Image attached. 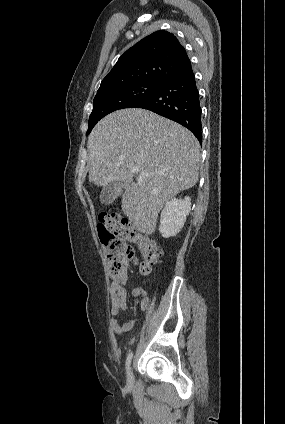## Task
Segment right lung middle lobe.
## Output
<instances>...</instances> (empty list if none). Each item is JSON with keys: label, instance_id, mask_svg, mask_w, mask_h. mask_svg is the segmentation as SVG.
Returning <instances> with one entry per match:
<instances>
[{"label": "right lung middle lobe", "instance_id": "right-lung-middle-lobe-1", "mask_svg": "<svg viewBox=\"0 0 285 424\" xmlns=\"http://www.w3.org/2000/svg\"><path fill=\"white\" fill-rule=\"evenodd\" d=\"M163 83L161 81H139L98 91L93 101V110L89 117L86 135L104 116L119 109L130 108L134 103L156 92Z\"/></svg>", "mask_w": 285, "mask_h": 424}]
</instances>
